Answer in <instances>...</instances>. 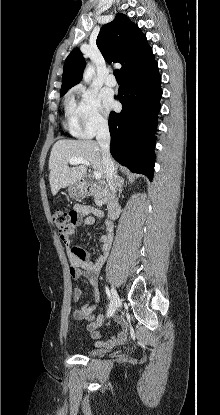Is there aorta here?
<instances>
[{
  "instance_id": "1",
  "label": "aorta",
  "mask_w": 220,
  "mask_h": 415,
  "mask_svg": "<svg viewBox=\"0 0 220 415\" xmlns=\"http://www.w3.org/2000/svg\"><path fill=\"white\" fill-rule=\"evenodd\" d=\"M95 74V68L92 64H89L83 74V81L86 84H89L93 78V75Z\"/></svg>"
}]
</instances>
